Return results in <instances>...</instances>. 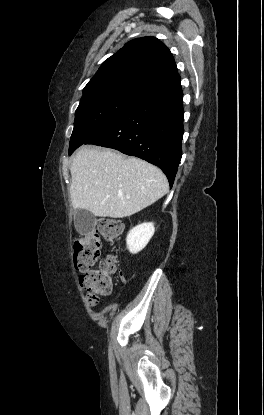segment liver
I'll return each instance as SVG.
<instances>
[{
  "label": "liver",
  "mask_w": 264,
  "mask_h": 415,
  "mask_svg": "<svg viewBox=\"0 0 264 415\" xmlns=\"http://www.w3.org/2000/svg\"><path fill=\"white\" fill-rule=\"evenodd\" d=\"M73 209L94 216H131L162 198L169 189L164 173L136 157L110 149L80 147L70 166Z\"/></svg>",
  "instance_id": "obj_1"
}]
</instances>
